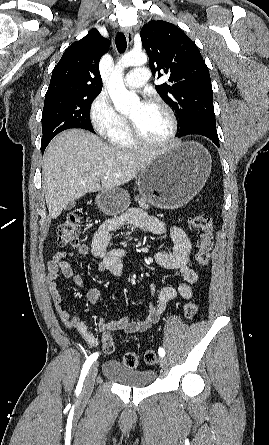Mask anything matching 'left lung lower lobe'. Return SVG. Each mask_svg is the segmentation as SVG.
Here are the masks:
<instances>
[{"label":"left lung lower lobe","instance_id":"obj_1","mask_svg":"<svg viewBox=\"0 0 269 445\" xmlns=\"http://www.w3.org/2000/svg\"><path fill=\"white\" fill-rule=\"evenodd\" d=\"M191 134L205 136V137L209 138L210 140H212L219 147V139H218V134L216 131V125H212V124L196 125V126L189 128L188 130H186L183 133H179L178 137H182L185 135H191Z\"/></svg>","mask_w":269,"mask_h":445}]
</instances>
